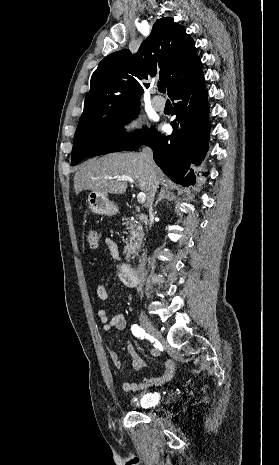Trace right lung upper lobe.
I'll return each mask as SVG.
<instances>
[{
    "label": "right lung upper lobe",
    "instance_id": "1",
    "mask_svg": "<svg viewBox=\"0 0 279 465\" xmlns=\"http://www.w3.org/2000/svg\"><path fill=\"white\" fill-rule=\"evenodd\" d=\"M201 61L191 37L173 18L153 25L150 36L132 55L120 50L105 57L94 71L79 125L91 123L107 111L139 107L146 80L159 76L172 95L186 82L201 75Z\"/></svg>",
    "mask_w": 279,
    "mask_h": 465
}]
</instances>
